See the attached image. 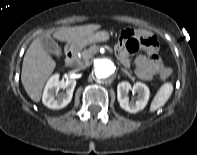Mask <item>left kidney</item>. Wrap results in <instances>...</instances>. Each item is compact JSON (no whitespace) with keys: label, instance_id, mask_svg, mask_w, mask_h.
<instances>
[{"label":"left kidney","instance_id":"5707ae66","mask_svg":"<svg viewBox=\"0 0 197 155\" xmlns=\"http://www.w3.org/2000/svg\"><path fill=\"white\" fill-rule=\"evenodd\" d=\"M133 90L138 94L137 100L129 101L128 92L129 90ZM150 96L149 88L141 82H137L131 87L129 82H121L117 86V99L118 102L124 110L130 113H136L139 110L144 109L147 105Z\"/></svg>","mask_w":197,"mask_h":155}]
</instances>
